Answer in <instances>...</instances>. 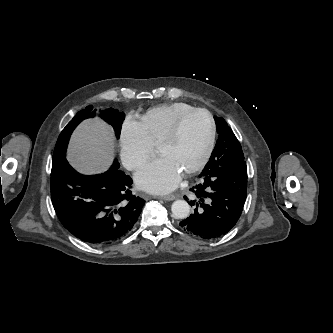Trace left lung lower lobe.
<instances>
[{
  "label": "left lung lower lobe",
  "instance_id": "0a47b994",
  "mask_svg": "<svg viewBox=\"0 0 333 333\" xmlns=\"http://www.w3.org/2000/svg\"><path fill=\"white\" fill-rule=\"evenodd\" d=\"M246 163L236 167L202 171L194 194V212L180 222L192 235L203 239L223 236L237 223L247 195Z\"/></svg>",
  "mask_w": 333,
  "mask_h": 333
}]
</instances>
